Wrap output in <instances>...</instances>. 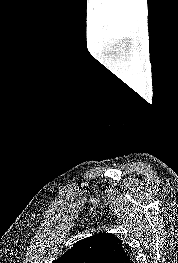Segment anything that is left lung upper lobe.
<instances>
[{"instance_id":"left-lung-upper-lobe-1","label":"left lung upper lobe","mask_w":178,"mask_h":263,"mask_svg":"<svg viewBox=\"0 0 178 263\" xmlns=\"http://www.w3.org/2000/svg\"><path fill=\"white\" fill-rule=\"evenodd\" d=\"M124 249L123 241L111 233H99L76 242L52 263H109Z\"/></svg>"}]
</instances>
